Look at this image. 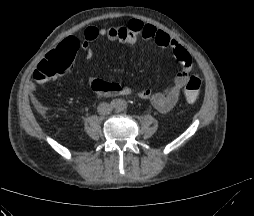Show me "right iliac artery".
<instances>
[{
    "mask_svg": "<svg viewBox=\"0 0 254 216\" xmlns=\"http://www.w3.org/2000/svg\"><path fill=\"white\" fill-rule=\"evenodd\" d=\"M111 104H112V106H116V105H117V102L113 100V101L111 102Z\"/></svg>",
    "mask_w": 254,
    "mask_h": 216,
    "instance_id": "1",
    "label": "right iliac artery"
}]
</instances>
